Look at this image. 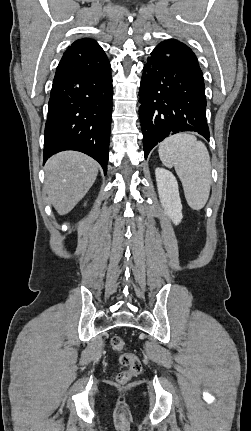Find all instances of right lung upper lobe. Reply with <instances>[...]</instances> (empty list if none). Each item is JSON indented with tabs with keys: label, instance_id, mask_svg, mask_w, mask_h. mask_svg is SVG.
Masks as SVG:
<instances>
[{
	"label": "right lung upper lobe",
	"instance_id": "obj_1",
	"mask_svg": "<svg viewBox=\"0 0 251 431\" xmlns=\"http://www.w3.org/2000/svg\"><path fill=\"white\" fill-rule=\"evenodd\" d=\"M92 45H98V44L96 41L92 39L84 38V39H79L75 41L68 49L74 50V49H80L82 47L92 46Z\"/></svg>",
	"mask_w": 251,
	"mask_h": 431
}]
</instances>
